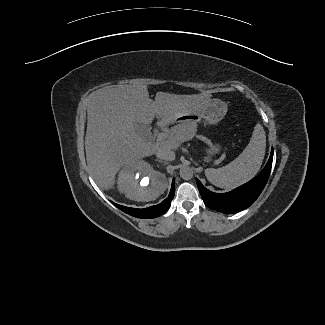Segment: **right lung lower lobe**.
I'll list each match as a JSON object with an SVG mask.
<instances>
[{"mask_svg":"<svg viewBox=\"0 0 325 325\" xmlns=\"http://www.w3.org/2000/svg\"><path fill=\"white\" fill-rule=\"evenodd\" d=\"M174 193H175V183L173 180L169 196L158 205L151 206L144 209L125 207L122 205H118L116 203H114V205L120 210L124 211L125 213L137 218H155L162 215L168 210L169 206L171 205V201L174 197Z\"/></svg>","mask_w":325,"mask_h":325,"instance_id":"98d812e1","label":"right lung lower lobe"}]
</instances>
